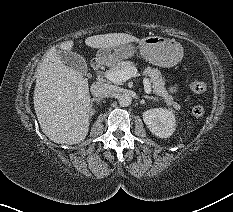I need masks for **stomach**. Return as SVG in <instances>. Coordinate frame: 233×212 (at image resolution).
<instances>
[{
	"instance_id": "stomach-1",
	"label": "stomach",
	"mask_w": 233,
	"mask_h": 212,
	"mask_svg": "<svg viewBox=\"0 0 233 212\" xmlns=\"http://www.w3.org/2000/svg\"><path fill=\"white\" fill-rule=\"evenodd\" d=\"M139 50L145 60L160 67L174 66L183 57V48L178 42L155 35L143 38ZM134 52V46L126 43L116 47L101 48L98 56L110 62L131 57Z\"/></svg>"
}]
</instances>
